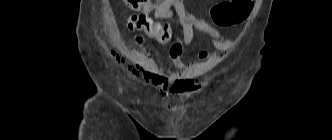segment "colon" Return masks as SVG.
I'll list each match as a JSON object with an SVG mask.
<instances>
[{"instance_id":"1","label":"colon","mask_w":332,"mask_h":140,"mask_svg":"<svg viewBox=\"0 0 332 140\" xmlns=\"http://www.w3.org/2000/svg\"><path fill=\"white\" fill-rule=\"evenodd\" d=\"M134 11L145 10L153 6V0H123ZM161 2V0H155ZM254 0H225L214 5L210 11L213 22L222 27L232 26L243 22L251 13ZM128 27L131 30L144 31L148 36L170 37L174 35L170 23L155 21L146 12L129 17ZM140 41V39H139Z\"/></svg>"}]
</instances>
